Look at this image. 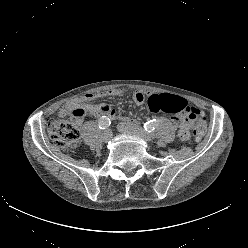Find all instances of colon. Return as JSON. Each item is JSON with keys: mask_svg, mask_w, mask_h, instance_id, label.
<instances>
[{"mask_svg": "<svg viewBox=\"0 0 248 248\" xmlns=\"http://www.w3.org/2000/svg\"><path fill=\"white\" fill-rule=\"evenodd\" d=\"M147 105L152 112H165L170 114H186L196 121L193 130V137L199 142L205 133L206 120L203 113L194 107L188 106L185 99L170 94H153L147 99ZM74 121L55 119L51 120L47 132L52 142L63 151H68L77 146L80 132L76 120L86 114L85 106H78L73 109Z\"/></svg>", "mask_w": 248, "mask_h": 248, "instance_id": "colon-1", "label": "colon"}]
</instances>
